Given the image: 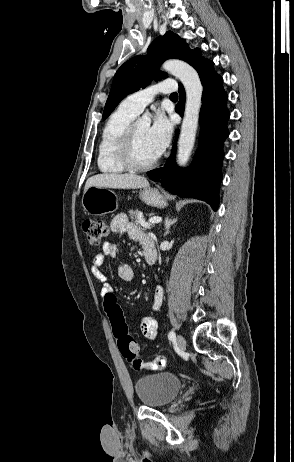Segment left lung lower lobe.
<instances>
[{
  "label": "left lung lower lobe",
  "instance_id": "obj_1",
  "mask_svg": "<svg viewBox=\"0 0 294 462\" xmlns=\"http://www.w3.org/2000/svg\"><path fill=\"white\" fill-rule=\"evenodd\" d=\"M196 70L203 85V93L201 134L195 159L187 169L176 167L174 144L164 168L152 170L148 176L154 181L160 180L162 186L172 194L204 200L216 211L219 204L218 188L222 180V146L229 135L227 120L230 114L226 107L228 95L223 89L222 77L214 71L212 61H206ZM179 94L176 112L183 116L185 91L181 84Z\"/></svg>",
  "mask_w": 294,
  "mask_h": 462
}]
</instances>
